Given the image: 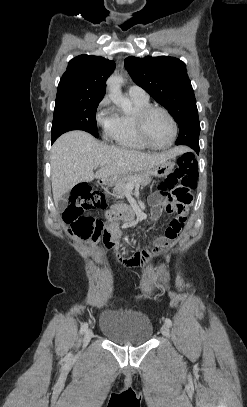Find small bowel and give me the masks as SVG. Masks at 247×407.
<instances>
[{
	"label": "small bowel",
	"mask_w": 247,
	"mask_h": 407,
	"mask_svg": "<svg viewBox=\"0 0 247 407\" xmlns=\"http://www.w3.org/2000/svg\"><path fill=\"white\" fill-rule=\"evenodd\" d=\"M151 215L153 219L159 218L163 213L172 215L173 218L164 229L163 235L157 238V246L154 249L144 250L138 253L129 261L130 266L144 267L149 260L156 256L163 248L168 247L175 241L186 224V215L189 210L188 204L165 200L161 194H154L150 197ZM120 237V231L116 227H110L104 235V246L107 250L111 249L117 239ZM148 272V270H146Z\"/></svg>",
	"instance_id": "1"
}]
</instances>
